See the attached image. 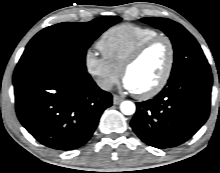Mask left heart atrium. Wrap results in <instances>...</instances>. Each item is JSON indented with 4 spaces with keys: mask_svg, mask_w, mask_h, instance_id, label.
Masks as SVG:
<instances>
[{
    "mask_svg": "<svg viewBox=\"0 0 220 173\" xmlns=\"http://www.w3.org/2000/svg\"><path fill=\"white\" fill-rule=\"evenodd\" d=\"M122 87L127 91L135 92L133 86L131 85V83L127 79L123 80Z\"/></svg>",
    "mask_w": 220,
    "mask_h": 173,
    "instance_id": "1",
    "label": "left heart atrium"
}]
</instances>
